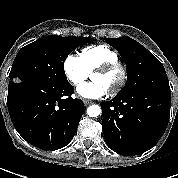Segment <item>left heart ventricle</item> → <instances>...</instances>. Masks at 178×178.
<instances>
[{
  "label": "left heart ventricle",
  "instance_id": "1",
  "mask_svg": "<svg viewBox=\"0 0 178 178\" xmlns=\"http://www.w3.org/2000/svg\"><path fill=\"white\" fill-rule=\"evenodd\" d=\"M119 74L117 72L110 73H94L92 80L95 82L102 83L110 91L117 83Z\"/></svg>",
  "mask_w": 178,
  "mask_h": 178
}]
</instances>
